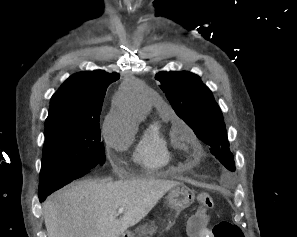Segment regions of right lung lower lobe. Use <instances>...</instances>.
I'll return each instance as SVG.
<instances>
[{"instance_id": "obj_1", "label": "right lung lower lobe", "mask_w": 297, "mask_h": 237, "mask_svg": "<svg viewBox=\"0 0 297 237\" xmlns=\"http://www.w3.org/2000/svg\"><path fill=\"white\" fill-rule=\"evenodd\" d=\"M75 179H77V177H76V178H71L70 180L66 181V183H64V185H66V184L72 182V181L75 180ZM52 192H54V191H47V192L39 191V199H40V201H43V200H44L48 195H50Z\"/></svg>"}]
</instances>
